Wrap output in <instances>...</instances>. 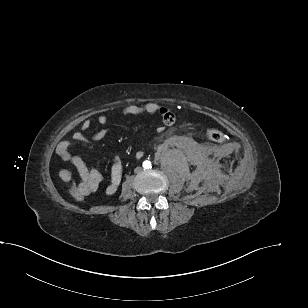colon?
I'll return each mask as SVG.
<instances>
[{"mask_svg": "<svg viewBox=\"0 0 308 308\" xmlns=\"http://www.w3.org/2000/svg\"><path fill=\"white\" fill-rule=\"evenodd\" d=\"M206 134L209 139L218 143H223L226 140L225 134L216 128H208ZM68 188L71 195L78 201H82L85 196L89 194L88 191L84 190L73 181L68 183Z\"/></svg>", "mask_w": 308, "mask_h": 308, "instance_id": "5ec220e1", "label": "colon"}]
</instances>
